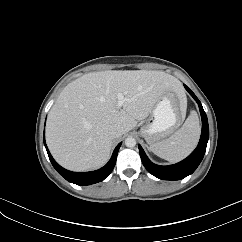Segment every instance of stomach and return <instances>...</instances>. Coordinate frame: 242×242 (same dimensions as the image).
Here are the masks:
<instances>
[{
	"label": "stomach",
	"instance_id": "0dacf381",
	"mask_svg": "<svg viewBox=\"0 0 242 242\" xmlns=\"http://www.w3.org/2000/svg\"><path fill=\"white\" fill-rule=\"evenodd\" d=\"M184 102L176 93H165L152 110V121L141 127L140 135L151 146L172 134L183 122Z\"/></svg>",
	"mask_w": 242,
	"mask_h": 242
}]
</instances>
